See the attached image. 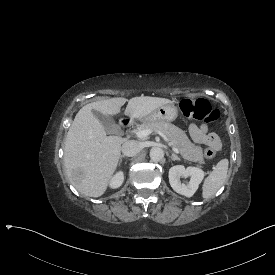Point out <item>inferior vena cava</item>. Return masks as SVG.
<instances>
[{"label":"inferior vena cava","mask_w":275,"mask_h":275,"mask_svg":"<svg viewBox=\"0 0 275 275\" xmlns=\"http://www.w3.org/2000/svg\"><path fill=\"white\" fill-rule=\"evenodd\" d=\"M141 145L136 140L126 141L122 146V152L127 157H133L141 151Z\"/></svg>","instance_id":"1"}]
</instances>
